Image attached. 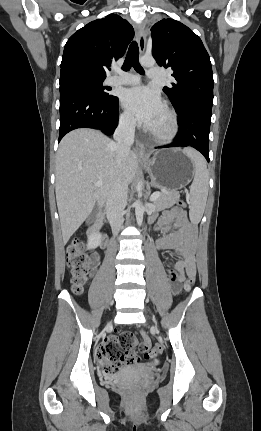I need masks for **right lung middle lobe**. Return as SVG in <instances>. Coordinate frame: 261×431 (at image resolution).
Masks as SVG:
<instances>
[{
  "label": "right lung middle lobe",
  "instance_id": "dd1d6c3e",
  "mask_svg": "<svg viewBox=\"0 0 261 431\" xmlns=\"http://www.w3.org/2000/svg\"><path fill=\"white\" fill-rule=\"evenodd\" d=\"M104 79L105 77L81 70L69 71L60 75V88L65 86L86 88L102 99L111 98L113 96L102 85Z\"/></svg>",
  "mask_w": 261,
  "mask_h": 431
}]
</instances>
